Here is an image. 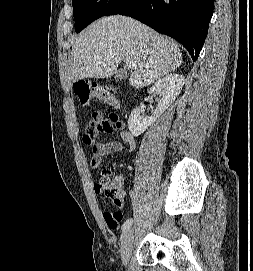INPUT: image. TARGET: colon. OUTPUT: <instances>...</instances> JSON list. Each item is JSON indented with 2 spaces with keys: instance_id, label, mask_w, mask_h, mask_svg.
<instances>
[{
  "instance_id": "obj_1",
  "label": "colon",
  "mask_w": 253,
  "mask_h": 271,
  "mask_svg": "<svg viewBox=\"0 0 253 271\" xmlns=\"http://www.w3.org/2000/svg\"><path fill=\"white\" fill-rule=\"evenodd\" d=\"M75 91L79 102L83 106H88L92 101H100L112 106L118 102V95L116 92L84 80H79L74 84ZM113 119H118L115 115ZM110 170H104L101 178L95 184L96 191L103 193L109 200H111L116 207V210L106 212L104 219L110 228H117L123 220V208L125 203V195L121 182L117 180H110Z\"/></svg>"
}]
</instances>
